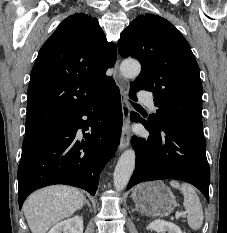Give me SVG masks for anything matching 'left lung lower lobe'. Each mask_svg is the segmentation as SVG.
I'll return each instance as SVG.
<instances>
[{
  "label": "left lung lower lobe",
  "mask_w": 227,
  "mask_h": 233,
  "mask_svg": "<svg viewBox=\"0 0 227 233\" xmlns=\"http://www.w3.org/2000/svg\"><path fill=\"white\" fill-rule=\"evenodd\" d=\"M129 97L137 100L133 91L129 92ZM130 117L142 123L150 136L131 139L136 151V166L127 190L144 181L176 179L196 186L209 202L210 168L204 137L170 122L153 128L135 112H131Z\"/></svg>",
  "instance_id": "obj_1"
}]
</instances>
